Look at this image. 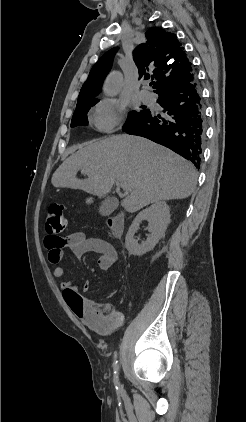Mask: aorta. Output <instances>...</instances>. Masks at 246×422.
<instances>
[{
  "instance_id": "1",
  "label": "aorta",
  "mask_w": 246,
  "mask_h": 422,
  "mask_svg": "<svg viewBox=\"0 0 246 422\" xmlns=\"http://www.w3.org/2000/svg\"><path fill=\"white\" fill-rule=\"evenodd\" d=\"M122 83H123V76L120 72L114 71L112 72L105 84H104V92L106 94V96L108 97H114L116 96L121 88H122Z\"/></svg>"
}]
</instances>
